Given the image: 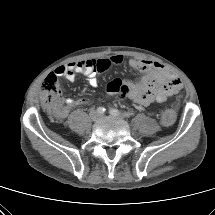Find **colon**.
I'll use <instances>...</instances> for the list:
<instances>
[{"mask_svg":"<svg viewBox=\"0 0 215 215\" xmlns=\"http://www.w3.org/2000/svg\"><path fill=\"white\" fill-rule=\"evenodd\" d=\"M41 101L43 106L55 114L61 112V89L57 76L53 73L49 74L43 83ZM175 121V113L167 110L162 115V123L166 126L173 124Z\"/></svg>","mask_w":215,"mask_h":215,"instance_id":"obj_1","label":"colon"}]
</instances>
